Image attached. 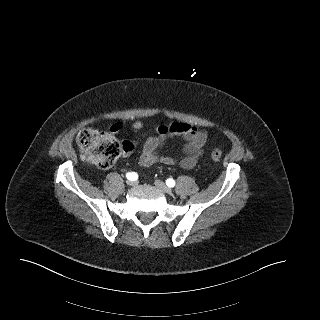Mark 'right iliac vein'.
Returning a JSON list of instances; mask_svg holds the SVG:
<instances>
[{"label": "right iliac vein", "instance_id": "right-iliac-vein-1", "mask_svg": "<svg viewBox=\"0 0 320 320\" xmlns=\"http://www.w3.org/2000/svg\"><path fill=\"white\" fill-rule=\"evenodd\" d=\"M135 181H132V180H128L127 181V184L129 185V186H133V185H135Z\"/></svg>", "mask_w": 320, "mask_h": 320}]
</instances>
